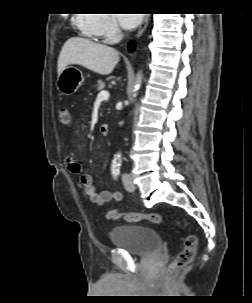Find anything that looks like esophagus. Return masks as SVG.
I'll list each match as a JSON object with an SVG mask.
<instances>
[{
	"instance_id": "obj_1",
	"label": "esophagus",
	"mask_w": 252,
	"mask_h": 303,
	"mask_svg": "<svg viewBox=\"0 0 252 303\" xmlns=\"http://www.w3.org/2000/svg\"><path fill=\"white\" fill-rule=\"evenodd\" d=\"M149 19H150V15L149 14H145L144 18H143V21L141 22L138 30H137V33H136V37L139 38L145 31V29L147 28L148 26V23H149Z\"/></svg>"
}]
</instances>
